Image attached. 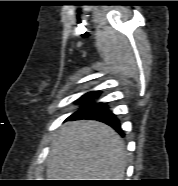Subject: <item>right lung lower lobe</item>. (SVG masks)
I'll list each match as a JSON object with an SVG mask.
<instances>
[{
	"label": "right lung lower lobe",
	"mask_w": 178,
	"mask_h": 186,
	"mask_svg": "<svg viewBox=\"0 0 178 186\" xmlns=\"http://www.w3.org/2000/svg\"><path fill=\"white\" fill-rule=\"evenodd\" d=\"M69 120H79V119H91L104 122L114 129H116L120 134L124 135L121 128L120 123L116 115L109 110V107L106 103L103 102H95L91 103L73 115H71Z\"/></svg>",
	"instance_id": "98d812e1"
}]
</instances>
